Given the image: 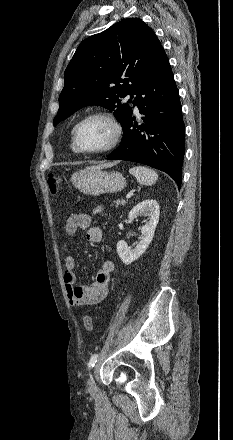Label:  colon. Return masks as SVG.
<instances>
[{
    "mask_svg": "<svg viewBox=\"0 0 233 440\" xmlns=\"http://www.w3.org/2000/svg\"><path fill=\"white\" fill-rule=\"evenodd\" d=\"M48 187L52 195H56L62 183V178L58 174L51 173L48 176ZM83 325L86 331H91L94 327L93 318L91 316H85L83 318Z\"/></svg>",
    "mask_w": 233,
    "mask_h": 440,
    "instance_id": "1",
    "label": "colon"
}]
</instances>
